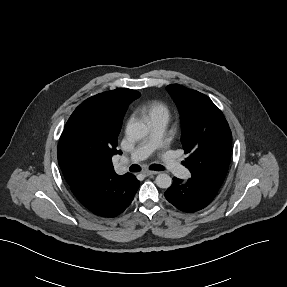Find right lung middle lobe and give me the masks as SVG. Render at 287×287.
Here are the masks:
<instances>
[{"label": "right lung middle lobe", "instance_id": "right-lung-middle-lobe-1", "mask_svg": "<svg viewBox=\"0 0 287 287\" xmlns=\"http://www.w3.org/2000/svg\"><path fill=\"white\" fill-rule=\"evenodd\" d=\"M57 154L63 173L85 180L94 179L102 162L110 159L107 147L89 136L88 123L77 110L65 125Z\"/></svg>", "mask_w": 287, "mask_h": 287}]
</instances>
